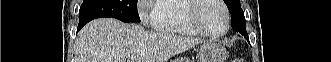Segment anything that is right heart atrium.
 <instances>
[{"mask_svg":"<svg viewBox=\"0 0 331 62\" xmlns=\"http://www.w3.org/2000/svg\"><path fill=\"white\" fill-rule=\"evenodd\" d=\"M160 0H140L138 1L139 14L144 23H149L156 5Z\"/></svg>","mask_w":331,"mask_h":62,"instance_id":"obj_1","label":"right heart atrium"}]
</instances>
